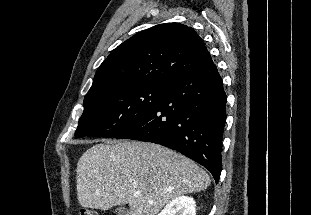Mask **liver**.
Returning a JSON list of instances; mask_svg holds the SVG:
<instances>
[{
	"label": "liver",
	"instance_id": "1",
	"mask_svg": "<svg viewBox=\"0 0 311 215\" xmlns=\"http://www.w3.org/2000/svg\"><path fill=\"white\" fill-rule=\"evenodd\" d=\"M76 172L82 207L106 211L128 204L129 215H156L171 200L210 185L209 175L194 161L147 142L93 145L78 160Z\"/></svg>",
	"mask_w": 311,
	"mask_h": 215
}]
</instances>
